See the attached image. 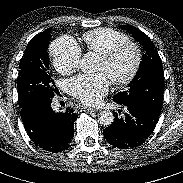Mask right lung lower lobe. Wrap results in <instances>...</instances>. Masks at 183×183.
Instances as JSON below:
<instances>
[{"mask_svg": "<svg viewBox=\"0 0 183 183\" xmlns=\"http://www.w3.org/2000/svg\"><path fill=\"white\" fill-rule=\"evenodd\" d=\"M20 109L24 128L36 146L52 153L69 147L77 118L72 109L55 113L51 108V98H33Z\"/></svg>", "mask_w": 183, "mask_h": 183, "instance_id": "98d812e1", "label": "right lung lower lobe"}]
</instances>
